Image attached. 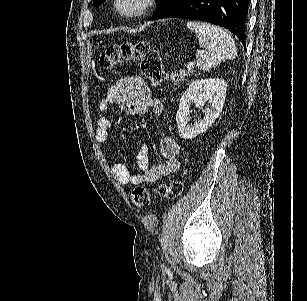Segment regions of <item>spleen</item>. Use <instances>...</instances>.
Masks as SVG:
<instances>
[{"label": "spleen", "instance_id": "spleen-1", "mask_svg": "<svg viewBox=\"0 0 307 301\" xmlns=\"http://www.w3.org/2000/svg\"><path fill=\"white\" fill-rule=\"evenodd\" d=\"M186 26L197 34L201 48H205L199 62L201 70H211L222 60L236 58L237 46L232 36L220 26L209 22H194V20H188Z\"/></svg>", "mask_w": 307, "mask_h": 301}]
</instances>
